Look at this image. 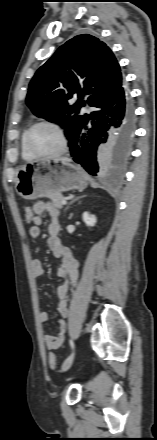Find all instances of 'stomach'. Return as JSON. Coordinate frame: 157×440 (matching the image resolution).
<instances>
[{
	"instance_id": "0dacf381",
	"label": "stomach",
	"mask_w": 157,
	"mask_h": 440,
	"mask_svg": "<svg viewBox=\"0 0 157 440\" xmlns=\"http://www.w3.org/2000/svg\"><path fill=\"white\" fill-rule=\"evenodd\" d=\"M88 176L78 165L60 159H41L26 163L16 174L15 189L19 196L34 200L69 190H82Z\"/></svg>"
}]
</instances>
